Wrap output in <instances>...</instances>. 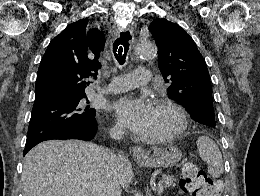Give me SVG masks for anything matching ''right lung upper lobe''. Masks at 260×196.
<instances>
[{
	"instance_id": "1",
	"label": "right lung upper lobe",
	"mask_w": 260,
	"mask_h": 196,
	"mask_svg": "<svg viewBox=\"0 0 260 196\" xmlns=\"http://www.w3.org/2000/svg\"><path fill=\"white\" fill-rule=\"evenodd\" d=\"M104 44L105 35L98 29H88L87 18L69 24L50 42L42 58L34 105L62 95L85 93L101 67L98 59Z\"/></svg>"
}]
</instances>
